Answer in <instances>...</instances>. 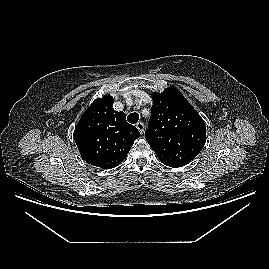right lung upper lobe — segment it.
<instances>
[{"label":"right lung upper lobe","instance_id":"right-lung-upper-lobe-1","mask_svg":"<svg viewBox=\"0 0 269 269\" xmlns=\"http://www.w3.org/2000/svg\"><path fill=\"white\" fill-rule=\"evenodd\" d=\"M113 102L109 95L96 99L83 113L74 132L82 158L103 169L119 165L140 137L137 128L127 123L125 113L113 109Z\"/></svg>","mask_w":269,"mask_h":269}]
</instances>
